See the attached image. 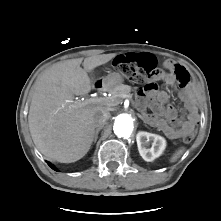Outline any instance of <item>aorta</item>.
Segmentation results:
<instances>
[{"label":"aorta","mask_w":221,"mask_h":221,"mask_svg":"<svg viewBox=\"0 0 221 221\" xmlns=\"http://www.w3.org/2000/svg\"><path fill=\"white\" fill-rule=\"evenodd\" d=\"M113 128L118 137H129L134 128V118L130 114H119L115 118Z\"/></svg>","instance_id":"762f6f07"}]
</instances>
